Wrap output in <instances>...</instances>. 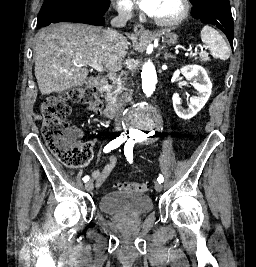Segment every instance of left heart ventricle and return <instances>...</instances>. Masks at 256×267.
<instances>
[{"instance_id": "obj_1", "label": "left heart ventricle", "mask_w": 256, "mask_h": 267, "mask_svg": "<svg viewBox=\"0 0 256 267\" xmlns=\"http://www.w3.org/2000/svg\"><path fill=\"white\" fill-rule=\"evenodd\" d=\"M177 15H178V9L170 3L164 15L162 16V21L163 23H169L173 21Z\"/></svg>"}]
</instances>
